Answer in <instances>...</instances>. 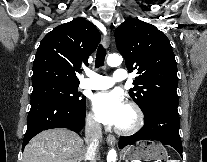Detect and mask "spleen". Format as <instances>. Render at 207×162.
Masks as SVG:
<instances>
[{"mask_svg":"<svg viewBox=\"0 0 207 162\" xmlns=\"http://www.w3.org/2000/svg\"><path fill=\"white\" fill-rule=\"evenodd\" d=\"M167 162H179L178 160H168Z\"/></svg>","mask_w":207,"mask_h":162,"instance_id":"3e777b00","label":"spleen"}]
</instances>
